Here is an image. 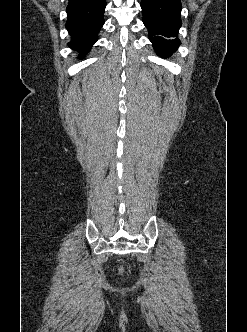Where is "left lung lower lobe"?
I'll return each instance as SVG.
<instances>
[{"label": "left lung lower lobe", "mask_w": 247, "mask_h": 332, "mask_svg": "<svg viewBox=\"0 0 247 332\" xmlns=\"http://www.w3.org/2000/svg\"><path fill=\"white\" fill-rule=\"evenodd\" d=\"M141 8L143 23L157 54L180 45L179 39H168L178 36L182 25L180 0H141Z\"/></svg>", "instance_id": "obj_1"}]
</instances>
